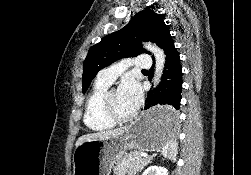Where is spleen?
Wrapping results in <instances>:
<instances>
[{
    "mask_svg": "<svg viewBox=\"0 0 251 175\" xmlns=\"http://www.w3.org/2000/svg\"><path fill=\"white\" fill-rule=\"evenodd\" d=\"M176 121H177V115L175 113ZM176 131H178V127H176ZM175 139L174 137H169L167 141H165L163 147H162V155L164 157H169V159H176L177 155V147L176 143H174Z\"/></svg>",
    "mask_w": 251,
    "mask_h": 175,
    "instance_id": "1",
    "label": "spleen"
}]
</instances>
